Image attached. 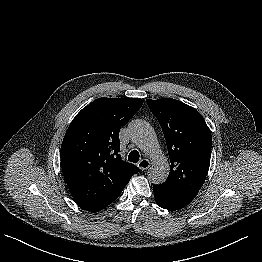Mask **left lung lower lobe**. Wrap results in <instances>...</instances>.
<instances>
[{
    "label": "left lung lower lobe",
    "mask_w": 262,
    "mask_h": 262,
    "mask_svg": "<svg viewBox=\"0 0 262 262\" xmlns=\"http://www.w3.org/2000/svg\"><path fill=\"white\" fill-rule=\"evenodd\" d=\"M155 201L158 206L168 210H178L188 205L194 198L173 192L161 185L153 186Z\"/></svg>",
    "instance_id": "0a47b994"
}]
</instances>
